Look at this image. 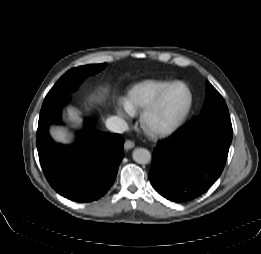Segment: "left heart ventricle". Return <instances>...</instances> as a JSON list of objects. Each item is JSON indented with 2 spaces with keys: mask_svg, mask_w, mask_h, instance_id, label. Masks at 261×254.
I'll list each match as a JSON object with an SVG mask.
<instances>
[{
  "mask_svg": "<svg viewBox=\"0 0 261 254\" xmlns=\"http://www.w3.org/2000/svg\"><path fill=\"white\" fill-rule=\"evenodd\" d=\"M189 102V94L185 87L175 86L165 96L160 109L155 114L158 123H170L174 121L186 108Z\"/></svg>",
  "mask_w": 261,
  "mask_h": 254,
  "instance_id": "b2bd125f",
  "label": "left heart ventricle"
}]
</instances>
